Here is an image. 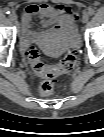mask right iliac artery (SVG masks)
<instances>
[{
	"label": "right iliac artery",
	"mask_w": 104,
	"mask_h": 137,
	"mask_svg": "<svg viewBox=\"0 0 104 137\" xmlns=\"http://www.w3.org/2000/svg\"><path fill=\"white\" fill-rule=\"evenodd\" d=\"M10 12H11V11H10L9 8H5V9H4V13H5V14H10Z\"/></svg>",
	"instance_id": "right-iliac-artery-1"
}]
</instances>
